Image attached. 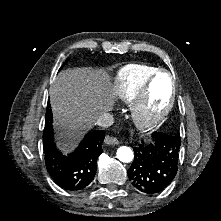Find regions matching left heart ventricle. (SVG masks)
<instances>
[{
    "label": "left heart ventricle",
    "mask_w": 221,
    "mask_h": 221,
    "mask_svg": "<svg viewBox=\"0 0 221 221\" xmlns=\"http://www.w3.org/2000/svg\"><path fill=\"white\" fill-rule=\"evenodd\" d=\"M171 91L170 79L166 74L159 75L151 89L148 113L156 114L168 103Z\"/></svg>",
    "instance_id": "left-heart-ventricle-1"
}]
</instances>
